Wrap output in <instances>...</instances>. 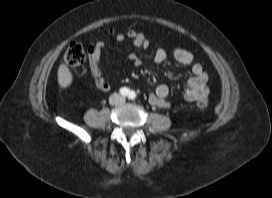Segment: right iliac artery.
<instances>
[{
    "label": "right iliac artery",
    "mask_w": 272,
    "mask_h": 198,
    "mask_svg": "<svg viewBox=\"0 0 272 198\" xmlns=\"http://www.w3.org/2000/svg\"><path fill=\"white\" fill-rule=\"evenodd\" d=\"M120 94H121L122 96H128V95H129V89L126 88V87H122V88L120 89Z\"/></svg>",
    "instance_id": "right-iliac-artery-1"
}]
</instances>
